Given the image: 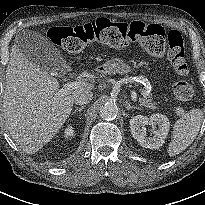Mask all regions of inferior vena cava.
Masks as SVG:
<instances>
[{
	"instance_id": "obj_1",
	"label": "inferior vena cava",
	"mask_w": 205,
	"mask_h": 205,
	"mask_svg": "<svg viewBox=\"0 0 205 205\" xmlns=\"http://www.w3.org/2000/svg\"><path fill=\"white\" fill-rule=\"evenodd\" d=\"M93 98V93L91 91H80L76 94L74 102L77 105H84L89 103Z\"/></svg>"
}]
</instances>
